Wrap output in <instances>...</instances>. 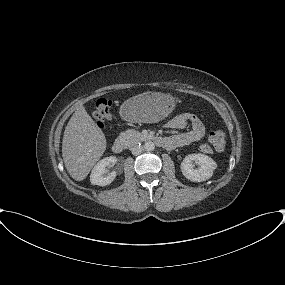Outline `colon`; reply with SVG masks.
Instances as JSON below:
<instances>
[{
	"label": "colon",
	"mask_w": 285,
	"mask_h": 285,
	"mask_svg": "<svg viewBox=\"0 0 285 285\" xmlns=\"http://www.w3.org/2000/svg\"><path fill=\"white\" fill-rule=\"evenodd\" d=\"M93 116L98 125L104 126L111 118V104L107 99L101 98L96 102ZM209 142L201 146L204 153H210L213 150L223 151L226 144V134L223 129H215L209 133Z\"/></svg>",
	"instance_id": "obj_1"
}]
</instances>
